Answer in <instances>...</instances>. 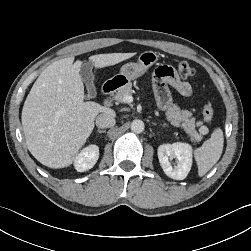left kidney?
Wrapping results in <instances>:
<instances>
[{
	"mask_svg": "<svg viewBox=\"0 0 251 251\" xmlns=\"http://www.w3.org/2000/svg\"><path fill=\"white\" fill-rule=\"evenodd\" d=\"M192 151V146L183 142L160 145L158 159L164 173L174 180L185 179L192 166ZM172 159L176 160L174 167Z\"/></svg>",
	"mask_w": 251,
	"mask_h": 251,
	"instance_id": "left-kidney-1",
	"label": "left kidney"
}]
</instances>
